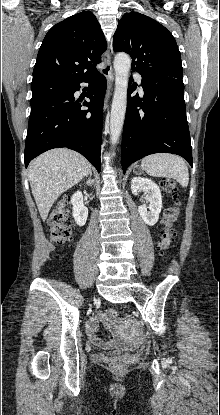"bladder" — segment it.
<instances>
[{"instance_id": "obj_1", "label": "bladder", "mask_w": 220, "mask_h": 415, "mask_svg": "<svg viewBox=\"0 0 220 415\" xmlns=\"http://www.w3.org/2000/svg\"><path fill=\"white\" fill-rule=\"evenodd\" d=\"M132 351H133L132 348H118L114 350L113 354L115 356H123V355L130 354Z\"/></svg>"}]
</instances>
